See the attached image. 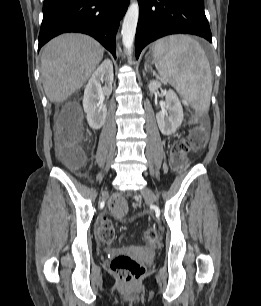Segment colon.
Segmentation results:
<instances>
[{"label": "colon", "mask_w": 261, "mask_h": 306, "mask_svg": "<svg viewBox=\"0 0 261 306\" xmlns=\"http://www.w3.org/2000/svg\"><path fill=\"white\" fill-rule=\"evenodd\" d=\"M56 138L58 142V156L72 168H78L85 159L81 146L82 115L76 106L64 107L56 121ZM207 133L204 124L192 129L187 138L175 140L171 146L170 162L174 168H183L188 162L191 150L200 149L206 143ZM110 207L114 215L123 222L130 220L128 207L122 198L111 201ZM159 233L155 227L144 230L142 238L146 244H154ZM99 237L107 246H111L115 239V230L108 218L101 221ZM111 271L126 284L137 282L143 275L145 268L142 263L126 254L116 255L110 263Z\"/></svg>", "instance_id": "1"}]
</instances>
